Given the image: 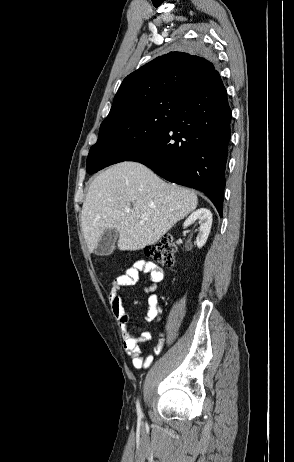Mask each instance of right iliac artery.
<instances>
[{"label":"right iliac artery","mask_w":294,"mask_h":462,"mask_svg":"<svg viewBox=\"0 0 294 462\" xmlns=\"http://www.w3.org/2000/svg\"><path fill=\"white\" fill-rule=\"evenodd\" d=\"M137 414H138V417L141 418L143 416L142 414V411H141V408H140V404L139 402L137 401Z\"/></svg>","instance_id":"1"}]
</instances>
